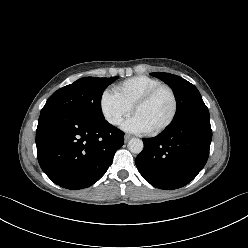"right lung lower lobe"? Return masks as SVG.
I'll use <instances>...</instances> for the list:
<instances>
[{"instance_id": "98d812e1", "label": "right lung lower lobe", "mask_w": 248, "mask_h": 248, "mask_svg": "<svg viewBox=\"0 0 248 248\" xmlns=\"http://www.w3.org/2000/svg\"><path fill=\"white\" fill-rule=\"evenodd\" d=\"M123 141L124 133L105 119L70 110L40 113L38 161L44 173L61 187L77 190L97 182Z\"/></svg>"}]
</instances>
